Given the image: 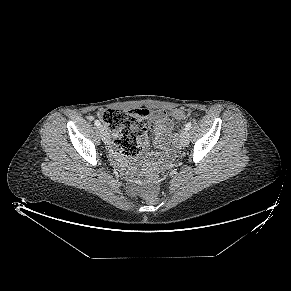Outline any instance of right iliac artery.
<instances>
[{"label": "right iliac artery", "instance_id": "82829eb1", "mask_svg": "<svg viewBox=\"0 0 291 291\" xmlns=\"http://www.w3.org/2000/svg\"><path fill=\"white\" fill-rule=\"evenodd\" d=\"M94 124H95L97 127H101V123H100V121H98V120H95Z\"/></svg>", "mask_w": 291, "mask_h": 291}]
</instances>
